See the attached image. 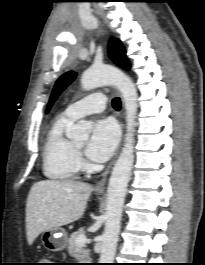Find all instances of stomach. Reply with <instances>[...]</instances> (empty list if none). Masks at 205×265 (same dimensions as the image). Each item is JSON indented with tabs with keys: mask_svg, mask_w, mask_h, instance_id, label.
<instances>
[{
	"mask_svg": "<svg viewBox=\"0 0 205 265\" xmlns=\"http://www.w3.org/2000/svg\"><path fill=\"white\" fill-rule=\"evenodd\" d=\"M42 243L49 251L58 252L67 245V233L60 228H53L42 233Z\"/></svg>",
	"mask_w": 205,
	"mask_h": 265,
	"instance_id": "1",
	"label": "stomach"
}]
</instances>
